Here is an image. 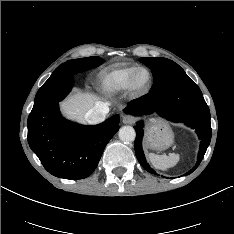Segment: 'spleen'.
Listing matches in <instances>:
<instances>
[{"instance_id": "spleen-1", "label": "spleen", "mask_w": 234, "mask_h": 234, "mask_svg": "<svg viewBox=\"0 0 234 234\" xmlns=\"http://www.w3.org/2000/svg\"><path fill=\"white\" fill-rule=\"evenodd\" d=\"M148 158L151 164L159 170H167L174 167L180 159L179 154L170 153L169 155H158L155 153H149Z\"/></svg>"}]
</instances>
